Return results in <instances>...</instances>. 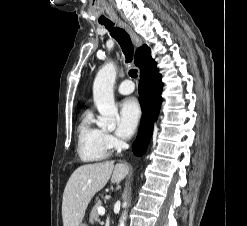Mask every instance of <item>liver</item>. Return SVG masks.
I'll return each mask as SVG.
<instances>
[{"label": "liver", "instance_id": "obj_1", "mask_svg": "<svg viewBox=\"0 0 247 226\" xmlns=\"http://www.w3.org/2000/svg\"><path fill=\"white\" fill-rule=\"evenodd\" d=\"M129 172L124 163L114 166L112 161L85 164L78 167L69 178L62 201L63 226H79L88 204L111 177V182L123 180Z\"/></svg>", "mask_w": 247, "mask_h": 226}]
</instances>
